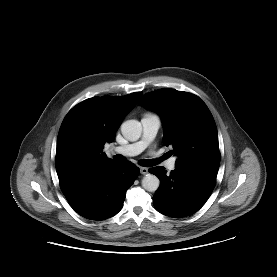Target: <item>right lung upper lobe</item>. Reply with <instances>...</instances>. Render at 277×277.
I'll return each mask as SVG.
<instances>
[{
	"instance_id": "right-lung-upper-lobe-1",
	"label": "right lung upper lobe",
	"mask_w": 277,
	"mask_h": 277,
	"mask_svg": "<svg viewBox=\"0 0 277 277\" xmlns=\"http://www.w3.org/2000/svg\"><path fill=\"white\" fill-rule=\"evenodd\" d=\"M142 92L127 96L93 97L73 107L64 118L57 138L55 165L59 182L113 162L102 151L112 142L125 116Z\"/></svg>"
}]
</instances>
